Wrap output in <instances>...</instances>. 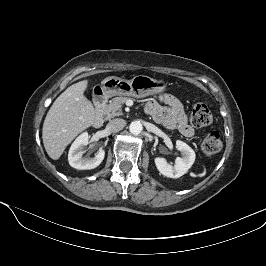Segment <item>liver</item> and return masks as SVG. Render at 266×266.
I'll return each instance as SVG.
<instances>
[{"mask_svg":"<svg viewBox=\"0 0 266 266\" xmlns=\"http://www.w3.org/2000/svg\"><path fill=\"white\" fill-rule=\"evenodd\" d=\"M87 80L69 86L52 104L43 123L42 139L50 158L58 160L83 130L93 125V104L85 97Z\"/></svg>","mask_w":266,"mask_h":266,"instance_id":"1","label":"liver"}]
</instances>
